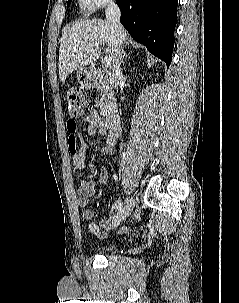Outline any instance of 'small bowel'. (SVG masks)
<instances>
[{
  "mask_svg": "<svg viewBox=\"0 0 239 303\" xmlns=\"http://www.w3.org/2000/svg\"><path fill=\"white\" fill-rule=\"evenodd\" d=\"M85 122L90 125L87 129V133L90 136H95L100 134L106 137V145L103 148V153L105 155H110L113 152V147L115 145V139L110 137L106 132L101 117L96 111H91L85 118ZM76 127L75 131L71 132L67 126L68 130V148L71 154L72 166L75 172L83 171L86 168L85 162V143L81 132L79 131V124L75 121ZM108 171L106 167H103L96 180L93 181H78V204L81 207L87 206V204L94 198L96 193V188L98 185L102 184L107 179ZM94 210L90 208H85L82 211V219L89 221L87 224V230L89 233L100 236L103 235V229L107 228L109 224V219H102L99 223L90 222L94 217Z\"/></svg>",
  "mask_w": 239,
  "mask_h": 303,
  "instance_id": "small-bowel-1",
  "label": "small bowel"
}]
</instances>
